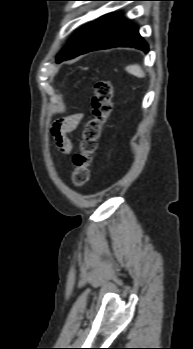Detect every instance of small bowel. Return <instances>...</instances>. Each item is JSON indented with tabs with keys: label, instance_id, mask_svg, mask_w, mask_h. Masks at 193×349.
<instances>
[{
	"label": "small bowel",
	"instance_id": "c3829d8e",
	"mask_svg": "<svg viewBox=\"0 0 193 349\" xmlns=\"http://www.w3.org/2000/svg\"><path fill=\"white\" fill-rule=\"evenodd\" d=\"M81 113H76L54 123L52 135L58 149L64 154H70L73 149L69 135L75 130L82 119Z\"/></svg>",
	"mask_w": 193,
	"mask_h": 349
}]
</instances>
